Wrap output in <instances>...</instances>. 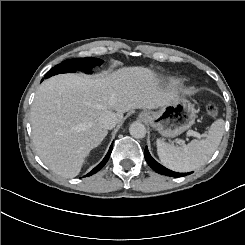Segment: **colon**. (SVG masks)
<instances>
[{
    "mask_svg": "<svg viewBox=\"0 0 245 245\" xmlns=\"http://www.w3.org/2000/svg\"><path fill=\"white\" fill-rule=\"evenodd\" d=\"M219 109L218 106L215 103H210L207 106V113L211 117H215L218 115Z\"/></svg>",
    "mask_w": 245,
    "mask_h": 245,
    "instance_id": "5ec220e1",
    "label": "colon"
}]
</instances>
